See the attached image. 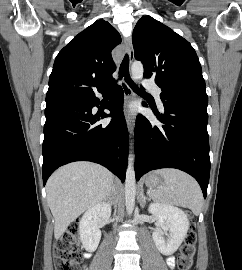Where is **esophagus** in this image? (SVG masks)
<instances>
[{
	"label": "esophagus",
	"mask_w": 242,
	"mask_h": 270,
	"mask_svg": "<svg viewBox=\"0 0 242 270\" xmlns=\"http://www.w3.org/2000/svg\"><path fill=\"white\" fill-rule=\"evenodd\" d=\"M125 46H126V51L129 57V64H131L134 59V53H133L132 41L130 38L126 39ZM122 88L124 91L125 102L127 104L130 101V98L132 97L133 92L126 81L122 82ZM126 123H127V127L129 131L132 132V120L128 114L126 115Z\"/></svg>",
	"instance_id": "34e87169"
}]
</instances>
